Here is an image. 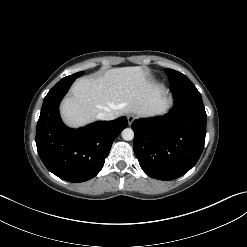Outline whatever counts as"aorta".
<instances>
[{
	"label": "aorta",
	"mask_w": 247,
	"mask_h": 247,
	"mask_svg": "<svg viewBox=\"0 0 247 247\" xmlns=\"http://www.w3.org/2000/svg\"><path fill=\"white\" fill-rule=\"evenodd\" d=\"M122 138L126 141H131L134 138V131L131 128H125L122 131Z\"/></svg>",
	"instance_id": "obj_1"
}]
</instances>
